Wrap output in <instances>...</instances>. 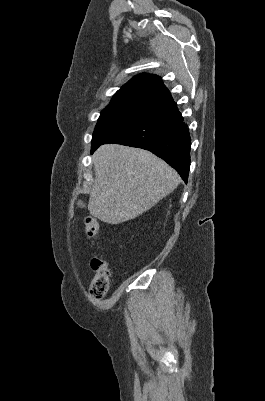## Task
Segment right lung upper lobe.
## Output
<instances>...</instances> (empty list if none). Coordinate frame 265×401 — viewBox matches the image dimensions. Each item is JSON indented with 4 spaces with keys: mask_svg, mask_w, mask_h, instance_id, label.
Returning a JSON list of instances; mask_svg holds the SVG:
<instances>
[{
    "mask_svg": "<svg viewBox=\"0 0 265 401\" xmlns=\"http://www.w3.org/2000/svg\"><path fill=\"white\" fill-rule=\"evenodd\" d=\"M127 103H150L165 107L174 101L159 76L142 73L118 90L108 106Z\"/></svg>",
    "mask_w": 265,
    "mask_h": 401,
    "instance_id": "right-lung-upper-lobe-1",
    "label": "right lung upper lobe"
}]
</instances>
